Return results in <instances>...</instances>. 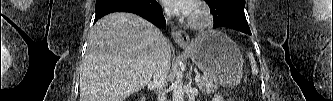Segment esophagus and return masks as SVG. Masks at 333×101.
<instances>
[{
    "label": "esophagus",
    "mask_w": 333,
    "mask_h": 101,
    "mask_svg": "<svg viewBox=\"0 0 333 101\" xmlns=\"http://www.w3.org/2000/svg\"><path fill=\"white\" fill-rule=\"evenodd\" d=\"M171 35L175 42L181 47H187L190 42V38L185 31L178 30L175 27L171 30Z\"/></svg>",
    "instance_id": "34e87169"
}]
</instances>
